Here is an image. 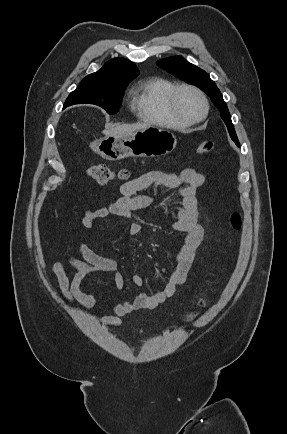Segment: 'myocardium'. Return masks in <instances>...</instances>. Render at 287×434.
<instances>
[{
	"label": "myocardium",
	"instance_id": "1",
	"mask_svg": "<svg viewBox=\"0 0 287 434\" xmlns=\"http://www.w3.org/2000/svg\"><path fill=\"white\" fill-rule=\"evenodd\" d=\"M184 90L192 91L200 98L202 105H203V112L198 118L187 119L178 110V106H177L178 97H179V94ZM168 107H169L170 113L172 114V116L175 119H177L178 121H180L184 125H195V124L202 122L207 117L208 110H209V103H208V99H207L205 93L197 86L192 85V84H180V85L175 86L172 89V91L169 93Z\"/></svg>",
	"mask_w": 287,
	"mask_h": 434
}]
</instances>
